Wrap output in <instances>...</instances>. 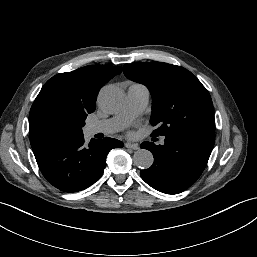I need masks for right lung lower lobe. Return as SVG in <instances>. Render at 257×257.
Here are the masks:
<instances>
[{"label":"right lung lower lobe","instance_id":"right-lung-lower-lobe-1","mask_svg":"<svg viewBox=\"0 0 257 257\" xmlns=\"http://www.w3.org/2000/svg\"><path fill=\"white\" fill-rule=\"evenodd\" d=\"M123 143L113 138L92 139L88 144L83 134L57 135L33 148L37 164L46 180L64 192L83 190L103 174L106 156Z\"/></svg>","mask_w":257,"mask_h":257}]
</instances>
